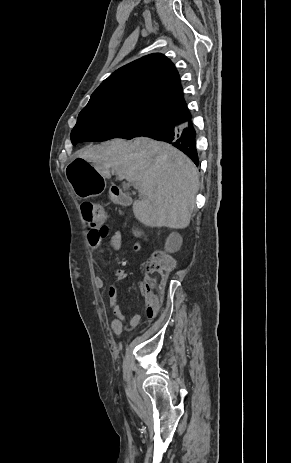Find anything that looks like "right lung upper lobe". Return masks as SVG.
Here are the masks:
<instances>
[{
  "mask_svg": "<svg viewBox=\"0 0 291 463\" xmlns=\"http://www.w3.org/2000/svg\"><path fill=\"white\" fill-rule=\"evenodd\" d=\"M90 108L140 111L183 124L191 120L179 74L161 53L144 56L112 73L83 109Z\"/></svg>",
  "mask_w": 291,
  "mask_h": 463,
  "instance_id": "1",
  "label": "right lung upper lobe"
}]
</instances>
